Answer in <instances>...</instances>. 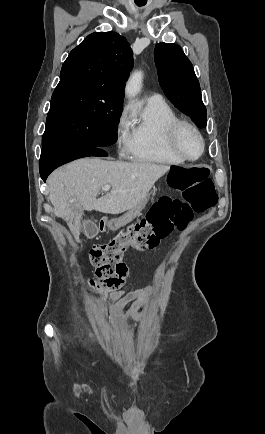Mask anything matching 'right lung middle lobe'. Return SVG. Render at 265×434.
I'll return each instance as SVG.
<instances>
[{"label":"right lung middle lobe","instance_id":"right-lung-middle-lobe-1","mask_svg":"<svg viewBox=\"0 0 265 434\" xmlns=\"http://www.w3.org/2000/svg\"><path fill=\"white\" fill-rule=\"evenodd\" d=\"M122 103V95L95 84H58L47 115L43 149L105 147L115 143Z\"/></svg>","mask_w":265,"mask_h":434}]
</instances>
